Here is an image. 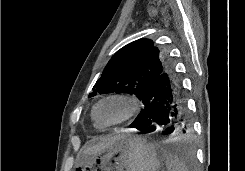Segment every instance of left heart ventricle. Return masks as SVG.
Listing matches in <instances>:
<instances>
[{"instance_id":"left-heart-ventricle-1","label":"left heart ventricle","mask_w":245,"mask_h":171,"mask_svg":"<svg viewBox=\"0 0 245 171\" xmlns=\"http://www.w3.org/2000/svg\"><path fill=\"white\" fill-rule=\"evenodd\" d=\"M126 112V105L119 100L103 102L97 110V115L104 122H113L120 119Z\"/></svg>"}]
</instances>
